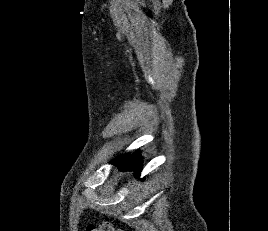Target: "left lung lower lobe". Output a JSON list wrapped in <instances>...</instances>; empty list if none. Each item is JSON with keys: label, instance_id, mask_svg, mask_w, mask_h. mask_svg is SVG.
I'll list each match as a JSON object with an SVG mask.
<instances>
[{"label": "left lung lower lobe", "instance_id": "left-lung-lower-lobe-1", "mask_svg": "<svg viewBox=\"0 0 268 231\" xmlns=\"http://www.w3.org/2000/svg\"><path fill=\"white\" fill-rule=\"evenodd\" d=\"M141 156L139 152H136L132 156L129 155H122L118 156L114 163L119 167L121 171H128V170H136V176H140V172L142 170L141 163Z\"/></svg>", "mask_w": 268, "mask_h": 231}]
</instances>
